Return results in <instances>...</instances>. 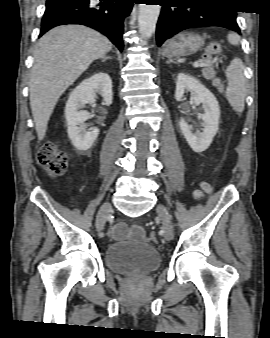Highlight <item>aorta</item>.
<instances>
[{"mask_svg": "<svg viewBox=\"0 0 270 338\" xmlns=\"http://www.w3.org/2000/svg\"><path fill=\"white\" fill-rule=\"evenodd\" d=\"M159 14V5L140 4L138 24L144 39H149L154 33Z\"/></svg>", "mask_w": 270, "mask_h": 338, "instance_id": "obj_1", "label": "aorta"}]
</instances>
